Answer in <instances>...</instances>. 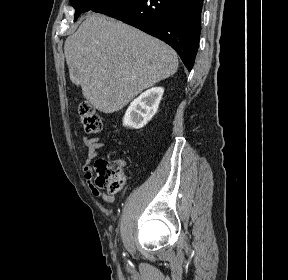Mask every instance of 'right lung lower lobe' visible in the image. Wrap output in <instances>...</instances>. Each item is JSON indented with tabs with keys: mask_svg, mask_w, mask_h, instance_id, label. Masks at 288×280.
I'll return each instance as SVG.
<instances>
[{
	"mask_svg": "<svg viewBox=\"0 0 288 280\" xmlns=\"http://www.w3.org/2000/svg\"><path fill=\"white\" fill-rule=\"evenodd\" d=\"M203 0H110L92 9L169 44L191 71L198 50Z\"/></svg>",
	"mask_w": 288,
	"mask_h": 280,
	"instance_id": "1",
	"label": "right lung lower lobe"
}]
</instances>
